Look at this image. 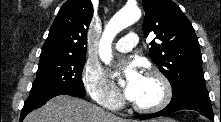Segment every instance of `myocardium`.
Returning <instances> with one entry per match:
<instances>
[{"label":"myocardium","mask_w":221,"mask_h":122,"mask_svg":"<svg viewBox=\"0 0 221 122\" xmlns=\"http://www.w3.org/2000/svg\"><path fill=\"white\" fill-rule=\"evenodd\" d=\"M145 77L156 79L162 89V95L158 102L149 106H142L130 101L131 107L140 113H154L164 109L172 99V85L169 79L159 70H149L145 73Z\"/></svg>","instance_id":"1"}]
</instances>
